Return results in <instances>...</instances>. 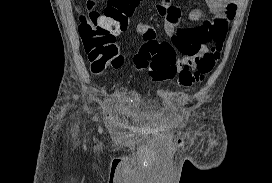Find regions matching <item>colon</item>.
<instances>
[{"mask_svg":"<svg viewBox=\"0 0 272 183\" xmlns=\"http://www.w3.org/2000/svg\"><path fill=\"white\" fill-rule=\"evenodd\" d=\"M140 0H108L104 10L97 0H85L79 9L78 32L91 71L103 73L107 68H119L123 57L115 41V35L126 30L129 18ZM222 41L195 61L194 67L178 68L176 48L168 42H145L135 56V65L146 69L155 81L174 79L184 87L201 82L212 71L220 58Z\"/></svg>","mask_w":272,"mask_h":183,"instance_id":"1","label":"colon"}]
</instances>
